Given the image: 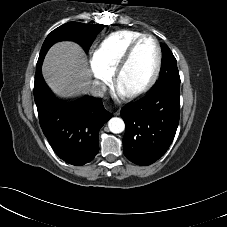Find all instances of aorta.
I'll list each match as a JSON object with an SVG mask.
<instances>
[{
  "mask_svg": "<svg viewBox=\"0 0 227 227\" xmlns=\"http://www.w3.org/2000/svg\"><path fill=\"white\" fill-rule=\"evenodd\" d=\"M108 127L112 133L118 134L124 131L125 123L121 118L113 117L109 120Z\"/></svg>",
  "mask_w": 227,
  "mask_h": 227,
  "instance_id": "obj_1",
  "label": "aorta"
}]
</instances>
